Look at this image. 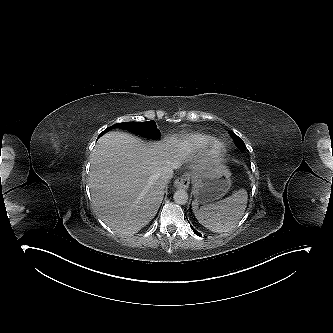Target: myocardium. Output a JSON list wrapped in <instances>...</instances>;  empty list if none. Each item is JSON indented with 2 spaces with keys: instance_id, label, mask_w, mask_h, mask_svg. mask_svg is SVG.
I'll return each instance as SVG.
<instances>
[{
  "instance_id": "f54148a6",
  "label": "myocardium",
  "mask_w": 333,
  "mask_h": 333,
  "mask_svg": "<svg viewBox=\"0 0 333 333\" xmlns=\"http://www.w3.org/2000/svg\"><path fill=\"white\" fill-rule=\"evenodd\" d=\"M206 148L207 149L204 153V157L208 161H216L221 157L225 150L224 144L217 139L210 141Z\"/></svg>"
}]
</instances>
